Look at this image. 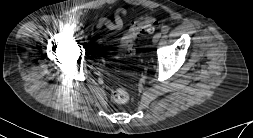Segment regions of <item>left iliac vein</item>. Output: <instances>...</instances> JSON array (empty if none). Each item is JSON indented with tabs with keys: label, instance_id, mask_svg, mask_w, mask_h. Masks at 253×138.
Instances as JSON below:
<instances>
[{
	"label": "left iliac vein",
	"instance_id": "left-iliac-vein-1",
	"mask_svg": "<svg viewBox=\"0 0 253 138\" xmlns=\"http://www.w3.org/2000/svg\"><path fill=\"white\" fill-rule=\"evenodd\" d=\"M160 38H161V33H156L152 39L153 43L156 44Z\"/></svg>",
	"mask_w": 253,
	"mask_h": 138
}]
</instances>
